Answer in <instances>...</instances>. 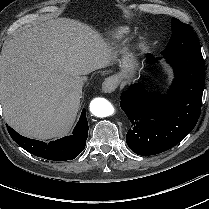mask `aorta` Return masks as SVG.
<instances>
[{
    "label": "aorta",
    "instance_id": "1",
    "mask_svg": "<svg viewBox=\"0 0 209 209\" xmlns=\"http://www.w3.org/2000/svg\"><path fill=\"white\" fill-rule=\"evenodd\" d=\"M90 112L96 117H108L114 113L112 104L105 98H94L89 105Z\"/></svg>",
    "mask_w": 209,
    "mask_h": 209
}]
</instances>
